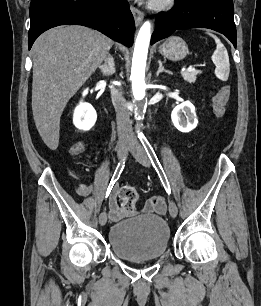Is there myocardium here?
Returning <instances> with one entry per match:
<instances>
[{
	"mask_svg": "<svg viewBox=\"0 0 261 306\" xmlns=\"http://www.w3.org/2000/svg\"><path fill=\"white\" fill-rule=\"evenodd\" d=\"M175 4V0H151L150 7L154 10H165Z\"/></svg>",
	"mask_w": 261,
	"mask_h": 306,
	"instance_id": "myocardium-1",
	"label": "myocardium"
}]
</instances>
